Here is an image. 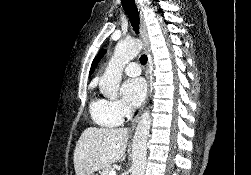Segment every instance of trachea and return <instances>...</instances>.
Here are the masks:
<instances>
[{"label": "trachea", "mask_w": 251, "mask_h": 175, "mask_svg": "<svg viewBox=\"0 0 251 175\" xmlns=\"http://www.w3.org/2000/svg\"><path fill=\"white\" fill-rule=\"evenodd\" d=\"M122 5H123V9L125 10V12L127 13L129 17L133 30L136 33H139V23H140L139 12L137 10L134 0H122ZM147 60L148 59L146 55H142L140 57V61L142 65H145L147 63Z\"/></svg>", "instance_id": "obj_1"}]
</instances>
